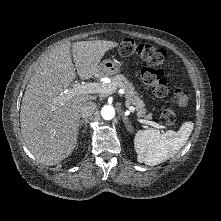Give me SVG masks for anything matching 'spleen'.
<instances>
[{"label": "spleen", "instance_id": "1", "mask_svg": "<svg viewBox=\"0 0 221 221\" xmlns=\"http://www.w3.org/2000/svg\"><path fill=\"white\" fill-rule=\"evenodd\" d=\"M193 126V122H185L177 132L168 130L163 134L155 129L138 131L134 137L138 162L154 166L173 157L189 139Z\"/></svg>", "mask_w": 221, "mask_h": 221}]
</instances>
